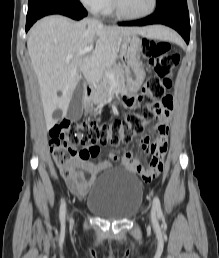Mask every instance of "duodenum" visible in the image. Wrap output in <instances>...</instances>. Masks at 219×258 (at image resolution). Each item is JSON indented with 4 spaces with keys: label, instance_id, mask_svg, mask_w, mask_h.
<instances>
[{
    "label": "duodenum",
    "instance_id": "duodenum-1",
    "mask_svg": "<svg viewBox=\"0 0 219 258\" xmlns=\"http://www.w3.org/2000/svg\"><path fill=\"white\" fill-rule=\"evenodd\" d=\"M95 90L91 85H86L84 88V98L85 102L88 104L91 102V97L94 95Z\"/></svg>",
    "mask_w": 219,
    "mask_h": 258
}]
</instances>
